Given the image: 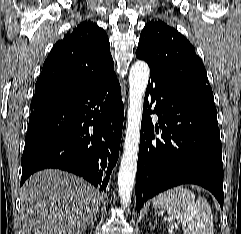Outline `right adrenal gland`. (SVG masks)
<instances>
[{
	"mask_svg": "<svg viewBox=\"0 0 241 234\" xmlns=\"http://www.w3.org/2000/svg\"><path fill=\"white\" fill-rule=\"evenodd\" d=\"M95 221H96V217L94 218L93 222L91 223L92 226H94Z\"/></svg>",
	"mask_w": 241,
	"mask_h": 234,
	"instance_id": "obj_1",
	"label": "right adrenal gland"
}]
</instances>
